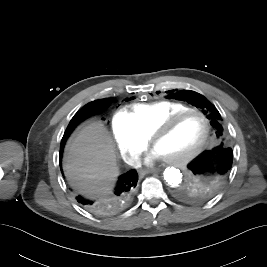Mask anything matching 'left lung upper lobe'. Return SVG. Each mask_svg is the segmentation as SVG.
I'll list each match as a JSON object with an SVG mask.
<instances>
[{"label": "left lung upper lobe", "instance_id": "1", "mask_svg": "<svg viewBox=\"0 0 267 267\" xmlns=\"http://www.w3.org/2000/svg\"><path fill=\"white\" fill-rule=\"evenodd\" d=\"M167 99H176L186 101L197 108L201 109V111L207 116L210 120V124L215 131V134L218 138L223 139L224 131L221 126V115L215 106L210 103L203 95L189 90H184L178 92L177 90H172L167 92Z\"/></svg>", "mask_w": 267, "mask_h": 267}]
</instances>
